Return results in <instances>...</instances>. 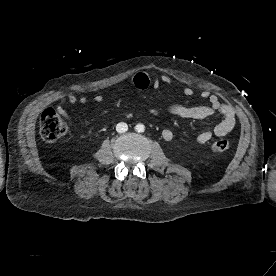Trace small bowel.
Returning <instances> with one entry per match:
<instances>
[{
  "instance_id": "c3829d8e",
  "label": "small bowel",
  "mask_w": 276,
  "mask_h": 276,
  "mask_svg": "<svg viewBox=\"0 0 276 276\" xmlns=\"http://www.w3.org/2000/svg\"><path fill=\"white\" fill-rule=\"evenodd\" d=\"M173 80L168 75L157 76L149 72H138L132 79V84L136 89L144 90L149 87H158L160 84L167 86L172 85ZM183 94L187 97L194 94V90L191 87H186L183 89ZM200 97L209 100V105L200 106H186L183 104L172 103L166 106V110L179 118L201 120L212 116L215 113L222 115V120L213 128L212 131H203L199 133L196 137L197 142L204 144L207 143L213 135L217 137H222L229 134L235 127L236 115L234 109L218 99L217 96L211 94L209 91H202ZM96 102H101L103 96L98 94L94 97ZM68 102L70 104H85L87 99L85 97H77L73 93H69L62 97L57 105V111L60 115L67 117L68 114L64 108V104ZM162 137L166 141L173 139L174 135L170 129H164L162 131Z\"/></svg>"
}]
</instances>
